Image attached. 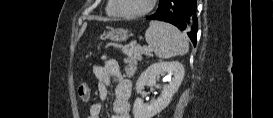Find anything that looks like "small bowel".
I'll list each match as a JSON object with an SVG mask.
<instances>
[{"label":"small bowel","instance_id":"obj_1","mask_svg":"<svg viewBox=\"0 0 273 118\" xmlns=\"http://www.w3.org/2000/svg\"><path fill=\"white\" fill-rule=\"evenodd\" d=\"M94 74L97 78V90L99 98L104 101L108 98L110 85L114 86V102L112 118H131V95L132 83L127 79L117 62L105 61L103 64L95 65ZM84 102L90 101V91L86 97H81ZM102 111L101 103H92L89 118H99Z\"/></svg>","mask_w":273,"mask_h":118}]
</instances>
